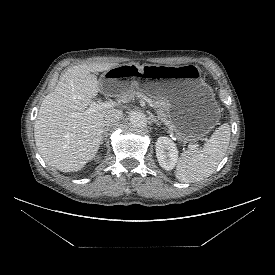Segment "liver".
I'll return each mask as SVG.
<instances>
[{
	"instance_id": "obj_1",
	"label": "liver",
	"mask_w": 275,
	"mask_h": 275,
	"mask_svg": "<svg viewBox=\"0 0 275 275\" xmlns=\"http://www.w3.org/2000/svg\"><path fill=\"white\" fill-rule=\"evenodd\" d=\"M116 66L117 63L107 62L73 66L44 98L35 121L34 137L39 154L49 166L62 172H76L96 155L105 115L114 109L82 113L102 90L95 73Z\"/></svg>"
}]
</instances>
